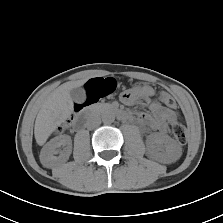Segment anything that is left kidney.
Masks as SVG:
<instances>
[{
  "label": "left kidney",
  "mask_w": 223,
  "mask_h": 223,
  "mask_svg": "<svg viewBox=\"0 0 223 223\" xmlns=\"http://www.w3.org/2000/svg\"><path fill=\"white\" fill-rule=\"evenodd\" d=\"M148 154L159 162L171 163L179 159L181 148L168 135L155 133L148 138Z\"/></svg>",
  "instance_id": "left-kidney-1"
}]
</instances>
